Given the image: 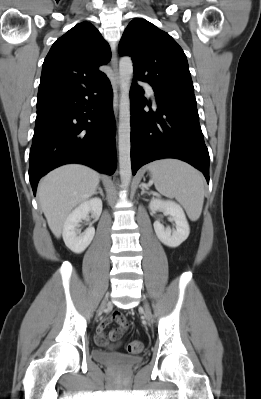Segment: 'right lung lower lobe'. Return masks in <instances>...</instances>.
I'll use <instances>...</instances> for the list:
<instances>
[{"mask_svg":"<svg viewBox=\"0 0 261 399\" xmlns=\"http://www.w3.org/2000/svg\"><path fill=\"white\" fill-rule=\"evenodd\" d=\"M29 162L34 195L39 179L63 164L81 163L114 173L113 92L106 76L95 84L37 102Z\"/></svg>","mask_w":261,"mask_h":399,"instance_id":"obj_1","label":"right lung lower lobe"}]
</instances>
